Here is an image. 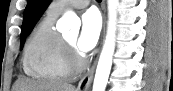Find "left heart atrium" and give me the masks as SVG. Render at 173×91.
Wrapping results in <instances>:
<instances>
[{
	"instance_id": "obj_1",
	"label": "left heart atrium",
	"mask_w": 173,
	"mask_h": 91,
	"mask_svg": "<svg viewBox=\"0 0 173 91\" xmlns=\"http://www.w3.org/2000/svg\"><path fill=\"white\" fill-rule=\"evenodd\" d=\"M81 32L77 41L80 53L90 52L97 44L101 31V20L98 12L94 9L87 10L81 18Z\"/></svg>"
}]
</instances>
